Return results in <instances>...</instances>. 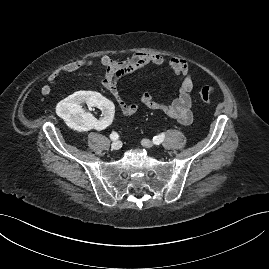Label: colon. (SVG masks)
Returning a JSON list of instances; mask_svg holds the SVG:
<instances>
[{"label": "colon", "mask_w": 269, "mask_h": 269, "mask_svg": "<svg viewBox=\"0 0 269 269\" xmlns=\"http://www.w3.org/2000/svg\"><path fill=\"white\" fill-rule=\"evenodd\" d=\"M213 89L209 86L201 87L199 90V100L203 103H210L212 100Z\"/></svg>", "instance_id": "5ec220e1"}]
</instances>
